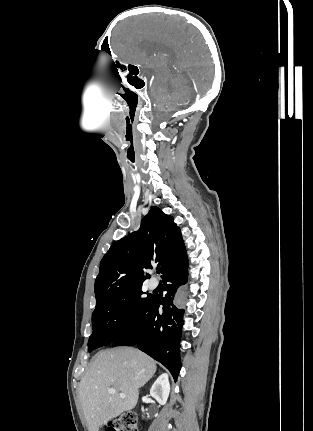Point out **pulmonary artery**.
<instances>
[{
  "label": "pulmonary artery",
  "mask_w": 313,
  "mask_h": 431,
  "mask_svg": "<svg viewBox=\"0 0 313 431\" xmlns=\"http://www.w3.org/2000/svg\"><path fill=\"white\" fill-rule=\"evenodd\" d=\"M158 286V282L156 280H151L149 282L150 289H155Z\"/></svg>",
  "instance_id": "1"
}]
</instances>
